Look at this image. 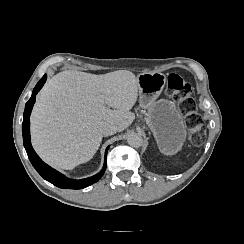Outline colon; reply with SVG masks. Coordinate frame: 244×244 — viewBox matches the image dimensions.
<instances>
[{
  "label": "colon",
  "instance_id": "1",
  "mask_svg": "<svg viewBox=\"0 0 244 244\" xmlns=\"http://www.w3.org/2000/svg\"><path fill=\"white\" fill-rule=\"evenodd\" d=\"M166 91L169 95H173L179 103L181 111L187 115L192 143H202L205 139V129L201 124L200 114L196 111V102L192 96L191 85L180 75L170 74L167 78Z\"/></svg>",
  "mask_w": 244,
  "mask_h": 244
}]
</instances>
